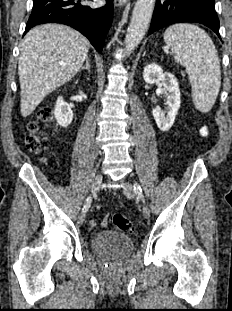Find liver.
Here are the masks:
<instances>
[{
  "instance_id": "1",
  "label": "liver",
  "mask_w": 232,
  "mask_h": 311,
  "mask_svg": "<svg viewBox=\"0 0 232 311\" xmlns=\"http://www.w3.org/2000/svg\"><path fill=\"white\" fill-rule=\"evenodd\" d=\"M90 42L78 31L45 24L24 37L18 62L21 114L29 116L41 101L81 69Z\"/></svg>"
}]
</instances>
